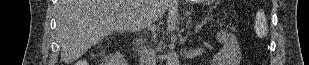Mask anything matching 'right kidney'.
<instances>
[{
  "label": "right kidney",
  "instance_id": "obj_1",
  "mask_svg": "<svg viewBox=\"0 0 309 65\" xmlns=\"http://www.w3.org/2000/svg\"><path fill=\"white\" fill-rule=\"evenodd\" d=\"M109 65H125L126 61L124 56L120 52H116L115 55L111 56Z\"/></svg>",
  "mask_w": 309,
  "mask_h": 65
}]
</instances>
